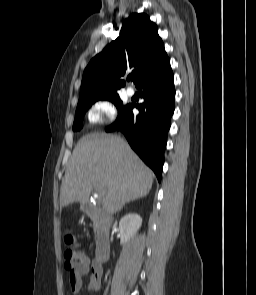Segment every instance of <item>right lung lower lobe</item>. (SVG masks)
Segmentation results:
<instances>
[{
    "instance_id": "obj_1",
    "label": "right lung lower lobe",
    "mask_w": 256,
    "mask_h": 295,
    "mask_svg": "<svg viewBox=\"0 0 256 295\" xmlns=\"http://www.w3.org/2000/svg\"><path fill=\"white\" fill-rule=\"evenodd\" d=\"M170 60L167 58L159 67L147 72L136 84L144 98L141 105L129 104L106 128L107 132L120 130L132 149L154 171L161 180L164 149L167 133L174 112L175 88ZM136 107L140 113L134 115Z\"/></svg>"
}]
</instances>
